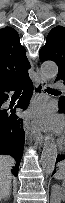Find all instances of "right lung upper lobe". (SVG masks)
Masks as SVG:
<instances>
[{
  "label": "right lung upper lobe",
  "mask_w": 65,
  "mask_h": 203,
  "mask_svg": "<svg viewBox=\"0 0 65 203\" xmlns=\"http://www.w3.org/2000/svg\"><path fill=\"white\" fill-rule=\"evenodd\" d=\"M30 63L15 29H0V88L19 83L29 77Z\"/></svg>",
  "instance_id": "obj_1"
}]
</instances>
